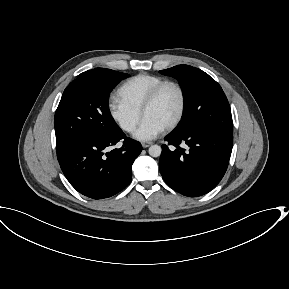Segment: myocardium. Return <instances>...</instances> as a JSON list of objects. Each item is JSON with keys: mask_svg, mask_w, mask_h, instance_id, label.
<instances>
[{"mask_svg": "<svg viewBox=\"0 0 289 289\" xmlns=\"http://www.w3.org/2000/svg\"><path fill=\"white\" fill-rule=\"evenodd\" d=\"M167 86H174L178 90L179 95H180L179 111L176 117L174 118V120L165 127V130L170 131L176 128L180 124V122L182 121L184 117L185 110H186V104H187L186 92L180 83L176 81H172V80H165L159 83L157 86H155L146 97L141 108V114L142 116H144L145 112L154 104V102L157 100L162 90Z\"/></svg>", "mask_w": 289, "mask_h": 289, "instance_id": "obj_1", "label": "myocardium"}]
</instances>
